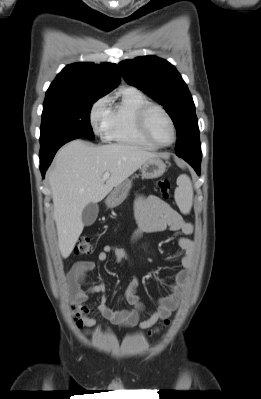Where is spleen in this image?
I'll return each mask as SVG.
<instances>
[{"label":"spleen","instance_id":"1","mask_svg":"<svg viewBox=\"0 0 261 399\" xmlns=\"http://www.w3.org/2000/svg\"><path fill=\"white\" fill-rule=\"evenodd\" d=\"M178 187L175 190V201L183 214H188L193 203V187L190 178L183 174L177 179Z\"/></svg>","mask_w":261,"mask_h":399}]
</instances>
